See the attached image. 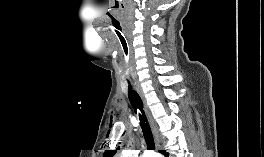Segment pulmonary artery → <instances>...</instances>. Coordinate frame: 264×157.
<instances>
[{"label": "pulmonary artery", "mask_w": 264, "mask_h": 157, "mask_svg": "<svg viewBox=\"0 0 264 157\" xmlns=\"http://www.w3.org/2000/svg\"><path fill=\"white\" fill-rule=\"evenodd\" d=\"M150 155H152V153H150V152H145V154H144L143 157H147V156H150Z\"/></svg>", "instance_id": "1"}]
</instances>
